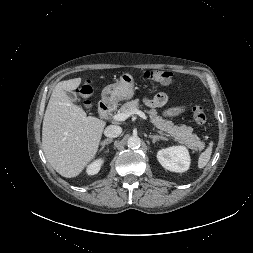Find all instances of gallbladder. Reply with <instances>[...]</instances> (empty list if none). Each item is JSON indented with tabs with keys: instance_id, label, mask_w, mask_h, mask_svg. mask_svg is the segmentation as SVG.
Here are the masks:
<instances>
[{
	"instance_id": "gallbladder-1",
	"label": "gallbladder",
	"mask_w": 253,
	"mask_h": 253,
	"mask_svg": "<svg viewBox=\"0 0 253 253\" xmlns=\"http://www.w3.org/2000/svg\"><path fill=\"white\" fill-rule=\"evenodd\" d=\"M66 94L70 98V100H72V101L78 100L77 94L75 92L70 91V92H67Z\"/></svg>"
}]
</instances>
